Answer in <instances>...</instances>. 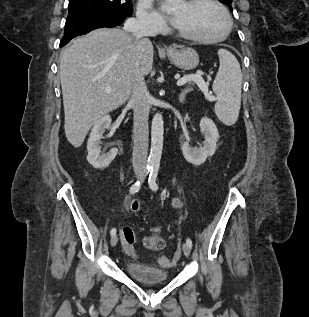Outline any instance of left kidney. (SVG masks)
I'll use <instances>...</instances> for the list:
<instances>
[{"instance_id": "left-kidney-1", "label": "left kidney", "mask_w": 309, "mask_h": 317, "mask_svg": "<svg viewBox=\"0 0 309 317\" xmlns=\"http://www.w3.org/2000/svg\"><path fill=\"white\" fill-rule=\"evenodd\" d=\"M199 126L201 133L205 138L203 146L200 148H192L188 142H185L182 145L184 158L195 166L203 164L207 157L212 156L215 153L216 143L219 138L218 129L211 119L203 117Z\"/></svg>"}]
</instances>
